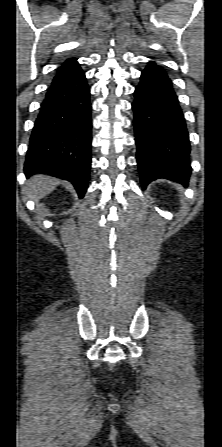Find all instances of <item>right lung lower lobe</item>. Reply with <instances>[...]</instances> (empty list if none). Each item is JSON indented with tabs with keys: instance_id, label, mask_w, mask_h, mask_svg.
<instances>
[{
	"instance_id": "98d812e1",
	"label": "right lung lower lobe",
	"mask_w": 222,
	"mask_h": 447,
	"mask_svg": "<svg viewBox=\"0 0 222 447\" xmlns=\"http://www.w3.org/2000/svg\"><path fill=\"white\" fill-rule=\"evenodd\" d=\"M90 89L75 62L53 80L30 137L25 161L27 177L46 173L69 180L83 198L91 167Z\"/></svg>"
}]
</instances>
